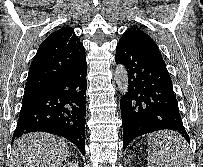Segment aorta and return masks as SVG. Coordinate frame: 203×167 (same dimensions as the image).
I'll return each mask as SVG.
<instances>
[{"mask_svg":"<svg viewBox=\"0 0 203 167\" xmlns=\"http://www.w3.org/2000/svg\"><path fill=\"white\" fill-rule=\"evenodd\" d=\"M114 80L120 93L125 94L128 90V73L123 64H117L114 71Z\"/></svg>","mask_w":203,"mask_h":167,"instance_id":"762f6f07","label":"aorta"}]
</instances>
